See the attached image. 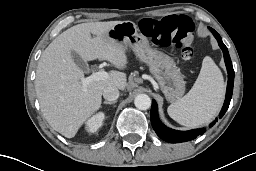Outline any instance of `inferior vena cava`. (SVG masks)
<instances>
[{
	"mask_svg": "<svg viewBox=\"0 0 256 171\" xmlns=\"http://www.w3.org/2000/svg\"><path fill=\"white\" fill-rule=\"evenodd\" d=\"M103 97L107 101H115L119 97V90L117 87L108 86L103 91Z\"/></svg>",
	"mask_w": 256,
	"mask_h": 171,
	"instance_id": "obj_1",
	"label": "inferior vena cava"
}]
</instances>
